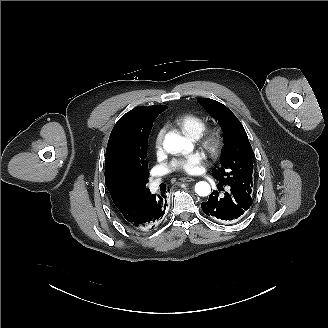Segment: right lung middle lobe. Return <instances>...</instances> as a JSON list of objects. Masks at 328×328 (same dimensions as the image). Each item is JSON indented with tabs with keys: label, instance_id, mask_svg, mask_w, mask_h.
<instances>
[{
	"label": "right lung middle lobe",
	"instance_id": "right-lung-middle-lobe-1",
	"mask_svg": "<svg viewBox=\"0 0 328 328\" xmlns=\"http://www.w3.org/2000/svg\"><path fill=\"white\" fill-rule=\"evenodd\" d=\"M160 112L146 110L133 117L122 130L119 157L125 174L134 184L146 188L148 181L147 143L153 121Z\"/></svg>",
	"mask_w": 328,
	"mask_h": 328
}]
</instances>
